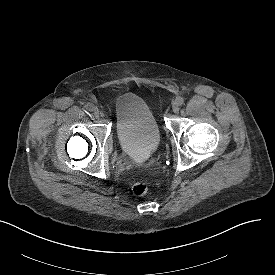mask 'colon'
<instances>
[{"mask_svg":"<svg viewBox=\"0 0 275 275\" xmlns=\"http://www.w3.org/2000/svg\"><path fill=\"white\" fill-rule=\"evenodd\" d=\"M132 191L136 196H144L148 192V185L143 181L136 182L132 186Z\"/></svg>","mask_w":275,"mask_h":275,"instance_id":"1","label":"colon"}]
</instances>
